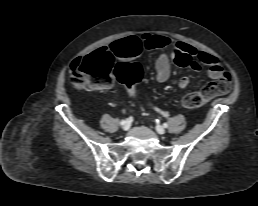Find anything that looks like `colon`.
<instances>
[{"label": "colon", "mask_w": 258, "mask_h": 206, "mask_svg": "<svg viewBox=\"0 0 258 206\" xmlns=\"http://www.w3.org/2000/svg\"><path fill=\"white\" fill-rule=\"evenodd\" d=\"M141 72V67L136 62L115 64L110 54L95 51L72 62L70 79L75 87L85 89L116 78L132 94L133 86ZM230 89L231 78L229 73H225L220 79L206 84L200 91L187 94L183 98V105L187 108H197L216 96L227 94Z\"/></svg>", "instance_id": "colon-1"}]
</instances>
